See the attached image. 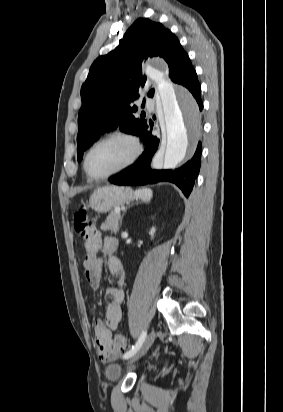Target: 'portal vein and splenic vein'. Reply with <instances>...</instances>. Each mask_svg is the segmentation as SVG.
<instances>
[{"label":"portal vein and splenic vein","instance_id":"obj_1","mask_svg":"<svg viewBox=\"0 0 283 412\" xmlns=\"http://www.w3.org/2000/svg\"><path fill=\"white\" fill-rule=\"evenodd\" d=\"M116 213H120V208L119 207H117V208H115V210H114Z\"/></svg>","mask_w":283,"mask_h":412}]
</instances>
